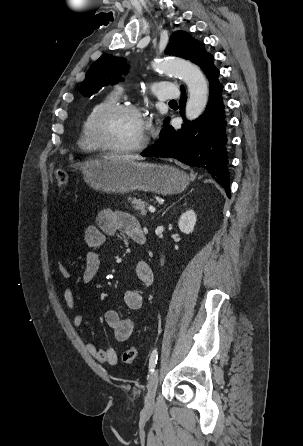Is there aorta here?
<instances>
[{
	"mask_svg": "<svg viewBox=\"0 0 303 446\" xmlns=\"http://www.w3.org/2000/svg\"><path fill=\"white\" fill-rule=\"evenodd\" d=\"M153 68L178 76L186 83L189 92L185 108L186 118L191 121L198 118L208 100V84L201 70L190 62L178 59L155 62Z\"/></svg>",
	"mask_w": 303,
	"mask_h": 446,
	"instance_id": "762f6f07",
	"label": "aorta"
}]
</instances>
